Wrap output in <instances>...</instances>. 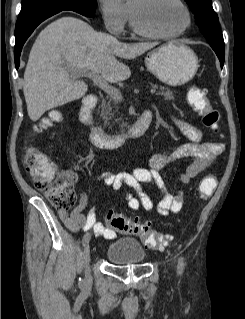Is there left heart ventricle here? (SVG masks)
I'll return each mask as SVG.
<instances>
[{"label":"left heart ventricle","instance_id":"1","mask_svg":"<svg viewBox=\"0 0 245 319\" xmlns=\"http://www.w3.org/2000/svg\"><path fill=\"white\" fill-rule=\"evenodd\" d=\"M129 5L140 12L148 28L158 32H176L187 22L184 9L175 0H130Z\"/></svg>","mask_w":245,"mask_h":319}]
</instances>
